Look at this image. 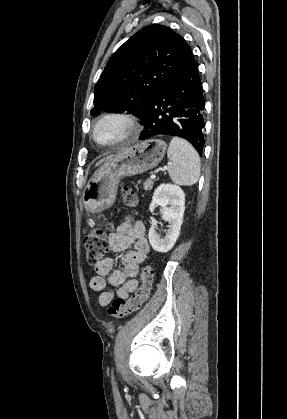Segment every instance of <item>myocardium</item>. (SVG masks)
Wrapping results in <instances>:
<instances>
[{
    "instance_id": "1",
    "label": "myocardium",
    "mask_w": 287,
    "mask_h": 419,
    "mask_svg": "<svg viewBox=\"0 0 287 419\" xmlns=\"http://www.w3.org/2000/svg\"><path fill=\"white\" fill-rule=\"evenodd\" d=\"M106 121H117L122 123L126 129L127 133H125L119 139L109 142V143H102L96 138V131L97 128ZM140 133V124L138 120L131 114L125 112H108L100 116L96 122L92 126L91 130V137L93 141L103 148H113L116 146H120L125 144L132 139H134Z\"/></svg>"
}]
</instances>
